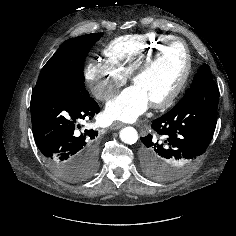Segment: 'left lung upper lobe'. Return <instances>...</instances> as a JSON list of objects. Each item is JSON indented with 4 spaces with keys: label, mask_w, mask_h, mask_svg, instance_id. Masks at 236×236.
Returning <instances> with one entry per match:
<instances>
[{
    "label": "left lung upper lobe",
    "mask_w": 236,
    "mask_h": 236,
    "mask_svg": "<svg viewBox=\"0 0 236 236\" xmlns=\"http://www.w3.org/2000/svg\"><path fill=\"white\" fill-rule=\"evenodd\" d=\"M207 80H213V76L211 74L209 66L207 64H203V66L200 67V69H198V71L193 79V83L191 84L190 89H192L193 87H195L198 84H200L204 81H207ZM189 90H187V91H189Z\"/></svg>",
    "instance_id": "1"
}]
</instances>
